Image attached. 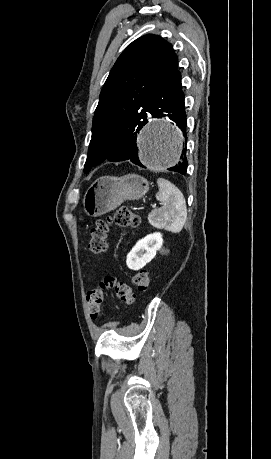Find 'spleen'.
Wrapping results in <instances>:
<instances>
[{
	"instance_id": "1",
	"label": "spleen",
	"mask_w": 271,
	"mask_h": 459,
	"mask_svg": "<svg viewBox=\"0 0 271 459\" xmlns=\"http://www.w3.org/2000/svg\"><path fill=\"white\" fill-rule=\"evenodd\" d=\"M157 184L159 192L156 194V200L162 202V208L153 210L149 222L154 228H164L179 233L187 220L185 198L168 180L158 178Z\"/></svg>"
}]
</instances>
